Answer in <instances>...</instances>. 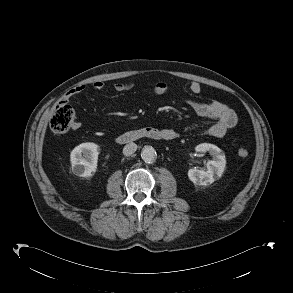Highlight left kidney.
Listing matches in <instances>:
<instances>
[{
    "mask_svg": "<svg viewBox=\"0 0 293 293\" xmlns=\"http://www.w3.org/2000/svg\"><path fill=\"white\" fill-rule=\"evenodd\" d=\"M195 150L202 153L209 152L213 160L207 162L206 171L196 168L189 169L188 177L195 185L206 186L212 184L224 172L226 166L225 155L219 147L209 143L199 144Z\"/></svg>",
    "mask_w": 293,
    "mask_h": 293,
    "instance_id": "left-kidney-1",
    "label": "left kidney"
}]
</instances>
